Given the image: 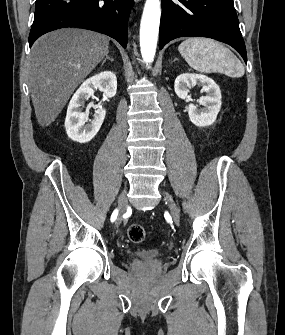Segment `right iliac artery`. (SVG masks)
<instances>
[{
    "instance_id": "obj_1",
    "label": "right iliac artery",
    "mask_w": 285,
    "mask_h": 335,
    "mask_svg": "<svg viewBox=\"0 0 285 335\" xmlns=\"http://www.w3.org/2000/svg\"><path fill=\"white\" fill-rule=\"evenodd\" d=\"M117 215H118V210L115 209L111 215V222H114L117 218Z\"/></svg>"
}]
</instances>
